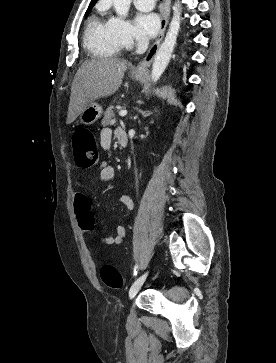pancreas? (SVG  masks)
Listing matches in <instances>:
<instances>
[{
  "instance_id": "pancreas-1",
  "label": "pancreas",
  "mask_w": 276,
  "mask_h": 363,
  "mask_svg": "<svg viewBox=\"0 0 276 363\" xmlns=\"http://www.w3.org/2000/svg\"><path fill=\"white\" fill-rule=\"evenodd\" d=\"M116 119H115V113L113 110V107L110 106L107 108V110L104 113V118L102 119V125H113L115 124Z\"/></svg>"
}]
</instances>
